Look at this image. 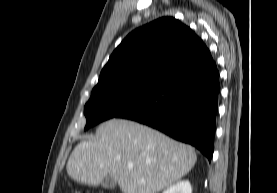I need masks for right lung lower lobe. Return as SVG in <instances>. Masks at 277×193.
<instances>
[{"instance_id":"98d812e1","label":"right lung lower lobe","mask_w":277,"mask_h":193,"mask_svg":"<svg viewBox=\"0 0 277 193\" xmlns=\"http://www.w3.org/2000/svg\"><path fill=\"white\" fill-rule=\"evenodd\" d=\"M219 92V73L211 58L169 80L118 118L140 122L191 144L211 161Z\"/></svg>"}]
</instances>
